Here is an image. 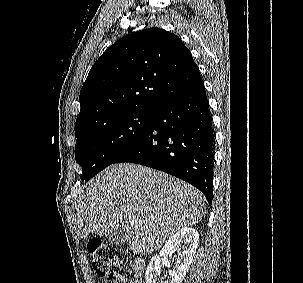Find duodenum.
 <instances>
[{"mask_svg": "<svg viewBox=\"0 0 303 283\" xmlns=\"http://www.w3.org/2000/svg\"><path fill=\"white\" fill-rule=\"evenodd\" d=\"M138 265L142 267V264H141L140 262L138 263ZM142 268H143V267H142Z\"/></svg>", "mask_w": 303, "mask_h": 283, "instance_id": "obj_1", "label": "duodenum"}]
</instances>
